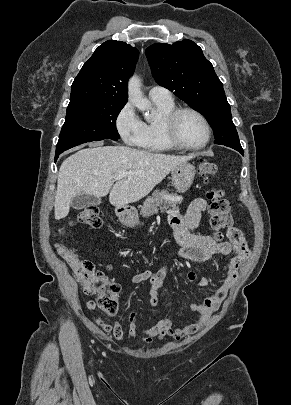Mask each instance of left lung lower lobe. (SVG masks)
I'll return each mask as SVG.
<instances>
[{
  "label": "left lung lower lobe",
  "instance_id": "0a47b994",
  "mask_svg": "<svg viewBox=\"0 0 291 405\" xmlns=\"http://www.w3.org/2000/svg\"><path fill=\"white\" fill-rule=\"evenodd\" d=\"M233 149H235V150H237V151H239L242 155H244L243 154V149H242V147H239V148H233Z\"/></svg>",
  "mask_w": 291,
  "mask_h": 405
}]
</instances>
